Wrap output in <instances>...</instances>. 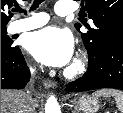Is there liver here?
Segmentation results:
<instances>
[{
    "label": "liver",
    "mask_w": 123,
    "mask_h": 113,
    "mask_svg": "<svg viewBox=\"0 0 123 113\" xmlns=\"http://www.w3.org/2000/svg\"><path fill=\"white\" fill-rule=\"evenodd\" d=\"M27 94L19 90H1V113H22ZM35 101V107L38 102Z\"/></svg>",
    "instance_id": "liver-1"
}]
</instances>
